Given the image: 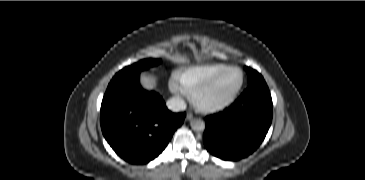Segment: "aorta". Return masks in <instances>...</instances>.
I'll list each match as a JSON object with an SVG mask.
<instances>
[{"label":"aorta","mask_w":365,"mask_h":180,"mask_svg":"<svg viewBox=\"0 0 365 180\" xmlns=\"http://www.w3.org/2000/svg\"><path fill=\"white\" fill-rule=\"evenodd\" d=\"M191 127L194 131H203L205 129V122L201 119H195L191 122Z\"/></svg>","instance_id":"obj_1"}]
</instances>
